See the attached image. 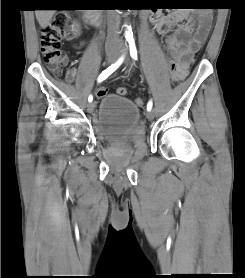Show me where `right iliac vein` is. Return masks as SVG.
<instances>
[{
    "label": "right iliac vein",
    "mask_w": 245,
    "mask_h": 278,
    "mask_svg": "<svg viewBox=\"0 0 245 278\" xmlns=\"http://www.w3.org/2000/svg\"><path fill=\"white\" fill-rule=\"evenodd\" d=\"M117 50L116 49H110L107 51L106 53V62L107 64H113L115 61H116V58H117ZM95 108V103L94 102H91L87 105V110L88 112H93Z\"/></svg>",
    "instance_id": "right-iliac-vein-1"
}]
</instances>
